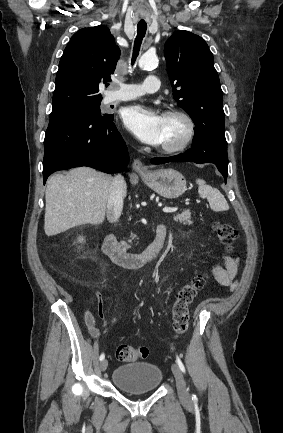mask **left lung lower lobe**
I'll list each match as a JSON object with an SVG mask.
<instances>
[{
  "label": "left lung lower lobe",
  "instance_id": "left-lung-lower-lobe-1",
  "mask_svg": "<svg viewBox=\"0 0 283 433\" xmlns=\"http://www.w3.org/2000/svg\"><path fill=\"white\" fill-rule=\"evenodd\" d=\"M225 128L214 125L195 129L192 148L185 153L172 157L153 158L151 163L164 164L168 162L214 163L223 175L225 182L228 176L227 142Z\"/></svg>",
  "mask_w": 283,
  "mask_h": 433
}]
</instances>
